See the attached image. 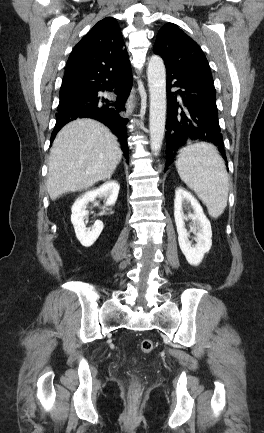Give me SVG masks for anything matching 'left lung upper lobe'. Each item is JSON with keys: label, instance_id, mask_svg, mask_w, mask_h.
<instances>
[{"label": "left lung upper lobe", "instance_id": "5c2ea615", "mask_svg": "<svg viewBox=\"0 0 264 433\" xmlns=\"http://www.w3.org/2000/svg\"><path fill=\"white\" fill-rule=\"evenodd\" d=\"M167 68L194 78L212 80L208 61L199 45L177 25L167 23L159 30L154 44Z\"/></svg>", "mask_w": 264, "mask_h": 433}]
</instances>
